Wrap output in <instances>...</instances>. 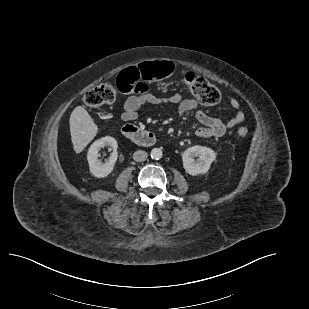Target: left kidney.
<instances>
[{
  "mask_svg": "<svg viewBox=\"0 0 309 309\" xmlns=\"http://www.w3.org/2000/svg\"><path fill=\"white\" fill-rule=\"evenodd\" d=\"M215 158L216 153L211 148L199 145L189 147L182 153L183 167L192 176L205 174Z\"/></svg>",
  "mask_w": 309,
  "mask_h": 309,
  "instance_id": "left-kidney-1",
  "label": "left kidney"
}]
</instances>
